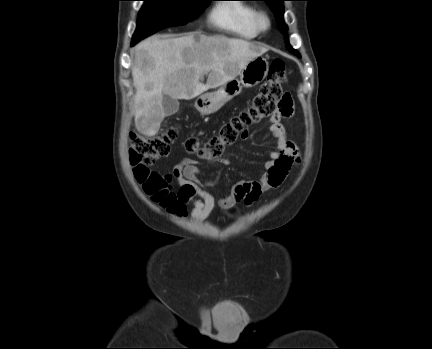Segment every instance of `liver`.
I'll return each mask as SVG.
<instances>
[{"instance_id":"obj_1","label":"liver","mask_w":432,"mask_h":349,"mask_svg":"<svg viewBox=\"0 0 432 349\" xmlns=\"http://www.w3.org/2000/svg\"><path fill=\"white\" fill-rule=\"evenodd\" d=\"M267 50L243 39L199 32L143 40L135 47L132 65L136 128L146 136H154L165 117L164 95L195 98L235 79L252 59ZM205 74L208 79L203 84L200 79Z\"/></svg>"}]
</instances>
